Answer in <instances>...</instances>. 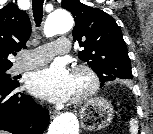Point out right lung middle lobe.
<instances>
[{
	"label": "right lung middle lobe",
	"mask_w": 153,
	"mask_h": 134,
	"mask_svg": "<svg viewBox=\"0 0 153 134\" xmlns=\"http://www.w3.org/2000/svg\"><path fill=\"white\" fill-rule=\"evenodd\" d=\"M9 69L10 68L0 69V84H4L7 86H17L18 82L13 80L11 76L7 73Z\"/></svg>",
	"instance_id": "1"
}]
</instances>
